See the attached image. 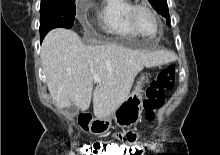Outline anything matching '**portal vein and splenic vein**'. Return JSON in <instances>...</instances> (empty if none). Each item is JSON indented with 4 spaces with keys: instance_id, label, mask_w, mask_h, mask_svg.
Listing matches in <instances>:
<instances>
[{
    "instance_id": "18ae733b",
    "label": "portal vein and splenic vein",
    "mask_w": 220,
    "mask_h": 155,
    "mask_svg": "<svg viewBox=\"0 0 220 155\" xmlns=\"http://www.w3.org/2000/svg\"><path fill=\"white\" fill-rule=\"evenodd\" d=\"M94 80L96 81V82H101V79H100V77H99V75L97 74V73H94Z\"/></svg>"
}]
</instances>
